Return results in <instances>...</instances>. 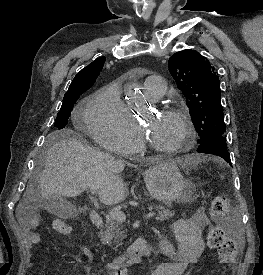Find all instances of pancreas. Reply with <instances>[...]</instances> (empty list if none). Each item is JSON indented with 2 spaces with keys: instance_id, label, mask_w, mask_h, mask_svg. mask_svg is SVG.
<instances>
[{
  "instance_id": "cf45deb5",
  "label": "pancreas",
  "mask_w": 263,
  "mask_h": 275,
  "mask_svg": "<svg viewBox=\"0 0 263 275\" xmlns=\"http://www.w3.org/2000/svg\"><path fill=\"white\" fill-rule=\"evenodd\" d=\"M158 215L156 219L158 220H166L174 215L173 211L169 209H165L163 207H157ZM106 230L104 232H100V240L103 244H112L117 243L121 244L122 239L126 236L123 234L124 232L121 229V222L115 220L110 214L106 215Z\"/></svg>"
}]
</instances>
